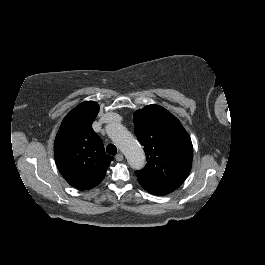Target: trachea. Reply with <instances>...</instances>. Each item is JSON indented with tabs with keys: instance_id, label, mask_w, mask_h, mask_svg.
<instances>
[{
	"instance_id": "1",
	"label": "trachea",
	"mask_w": 265,
	"mask_h": 265,
	"mask_svg": "<svg viewBox=\"0 0 265 265\" xmlns=\"http://www.w3.org/2000/svg\"><path fill=\"white\" fill-rule=\"evenodd\" d=\"M106 151L108 154L114 156L116 153H117V147L113 144H109L107 147H106Z\"/></svg>"
}]
</instances>
